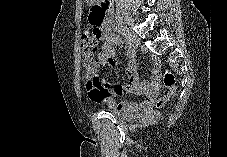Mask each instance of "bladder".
<instances>
[{
    "label": "bladder",
    "mask_w": 227,
    "mask_h": 157,
    "mask_svg": "<svg viewBox=\"0 0 227 157\" xmlns=\"http://www.w3.org/2000/svg\"><path fill=\"white\" fill-rule=\"evenodd\" d=\"M110 113L114 114L115 116L122 118V119H129L134 116V113L124 110H118V109H109Z\"/></svg>",
    "instance_id": "obj_1"
}]
</instances>
